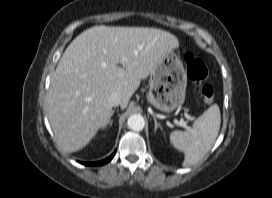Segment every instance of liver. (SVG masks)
Wrapping results in <instances>:
<instances>
[{
  "label": "liver",
  "mask_w": 272,
  "mask_h": 198,
  "mask_svg": "<svg viewBox=\"0 0 272 198\" xmlns=\"http://www.w3.org/2000/svg\"><path fill=\"white\" fill-rule=\"evenodd\" d=\"M178 47L176 36L157 28L102 25L78 35L59 60L47 95L58 145L65 152L84 148L111 118L110 94L118 92L126 108L140 81Z\"/></svg>",
  "instance_id": "1"
}]
</instances>
